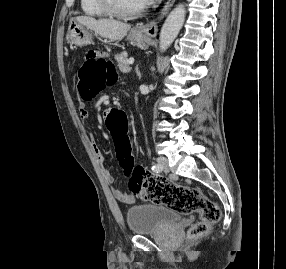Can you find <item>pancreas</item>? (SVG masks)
I'll return each mask as SVG.
<instances>
[{"label": "pancreas", "mask_w": 286, "mask_h": 269, "mask_svg": "<svg viewBox=\"0 0 286 269\" xmlns=\"http://www.w3.org/2000/svg\"><path fill=\"white\" fill-rule=\"evenodd\" d=\"M115 59H116V61H117L119 70H120L121 72L127 73V72L130 71V67H129V64H128V59H127V53H126V52L117 54V55L115 56Z\"/></svg>", "instance_id": "obj_1"}]
</instances>
